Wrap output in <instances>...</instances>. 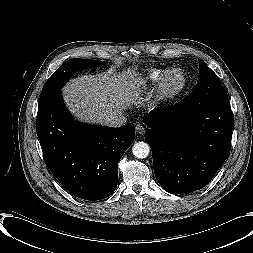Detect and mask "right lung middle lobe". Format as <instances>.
<instances>
[{
  "label": "right lung middle lobe",
  "mask_w": 253,
  "mask_h": 253,
  "mask_svg": "<svg viewBox=\"0 0 253 253\" xmlns=\"http://www.w3.org/2000/svg\"><path fill=\"white\" fill-rule=\"evenodd\" d=\"M104 63V61L79 58L70 59L63 63L43 86L39 99L38 110L47 105L49 101L61 91L64 84L75 72L81 69L101 66Z\"/></svg>",
  "instance_id": "right-lung-middle-lobe-1"
}]
</instances>
